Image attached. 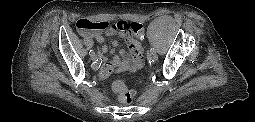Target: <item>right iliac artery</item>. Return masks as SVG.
<instances>
[{"instance_id":"82829eb1","label":"right iliac artery","mask_w":255,"mask_h":122,"mask_svg":"<svg viewBox=\"0 0 255 122\" xmlns=\"http://www.w3.org/2000/svg\"><path fill=\"white\" fill-rule=\"evenodd\" d=\"M94 53H95V51L92 50V49L89 51V54H90L91 56H92Z\"/></svg>"}]
</instances>
